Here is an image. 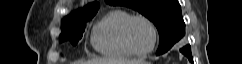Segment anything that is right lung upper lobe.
<instances>
[{"mask_svg": "<svg viewBox=\"0 0 242 64\" xmlns=\"http://www.w3.org/2000/svg\"><path fill=\"white\" fill-rule=\"evenodd\" d=\"M100 5L97 2L91 3L88 6L84 7L83 9H79L78 11L72 13L71 15L65 17L62 21V24H70L76 21H79L81 18L85 17L88 14L98 11Z\"/></svg>", "mask_w": 242, "mask_h": 64, "instance_id": "cb5924a9", "label": "right lung upper lobe"}]
</instances>
